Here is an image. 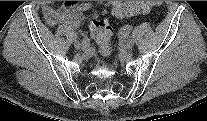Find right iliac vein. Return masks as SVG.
Returning a JSON list of instances; mask_svg holds the SVG:
<instances>
[{"instance_id": "1", "label": "right iliac vein", "mask_w": 207, "mask_h": 121, "mask_svg": "<svg viewBox=\"0 0 207 121\" xmlns=\"http://www.w3.org/2000/svg\"><path fill=\"white\" fill-rule=\"evenodd\" d=\"M74 47H75L76 49H80V48H81V44H80V42L75 41V42H74Z\"/></svg>"}]
</instances>
